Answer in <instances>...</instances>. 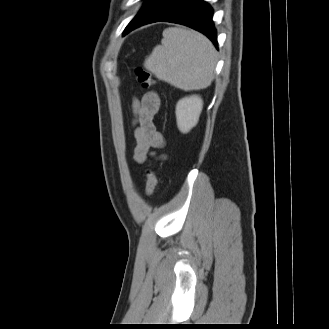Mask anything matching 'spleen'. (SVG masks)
Here are the masks:
<instances>
[{
  "mask_svg": "<svg viewBox=\"0 0 329 329\" xmlns=\"http://www.w3.org/2000/svg\"><path fill=\"white\" fill-rule=\"evenodd\" d=\"M216 51L211 42L195 31L170 27L145 59L144 67L159 80L179 89L199 90L214 79Z\"/></svg>",
  "mask_w": 329,
  "mask_h": 329,
  "instance_id": "3e777b00",
  "label": "spleen"
}]
</instances>
